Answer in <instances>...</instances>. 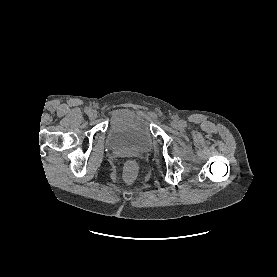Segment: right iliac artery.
Segmentation results:
<instances>
[{
  "instance_id": "right-iliac-artery-1",
  "label": "right iliac artery",
  "mask_w": 277,
  "mask_h": 277,
  "mask_svg": "<svg viewBox=\"0 0 277 277\" xmlns=\"http://www.w3.org/2000/svg\"><path fill=\"white\" fill-rule=\"evenodd\" d=\"M90 112H91V109H90V108H86V109H85V113H86V114H89Z\"/></svg>"
}]
</instances>
